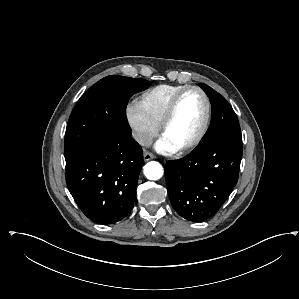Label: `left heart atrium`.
Segmentation results:
<instances>
[{
    "instance_id": "1",
    "label": "left heart atrium",
    "mask_w": 299,
    "mask_h": 299,
    "mask_svg": "<svg viewBox=\"0 0 299 299\" xmlns=\"http://www.w3.org/2000/svg\"><path fill=\"white\" fill-rule=\"evenodd\" d=\"M156 149L163 153H171L177 150V147L168 142L164 137L160 138L156 143Z\"/></svg>"
}]
</instances>
